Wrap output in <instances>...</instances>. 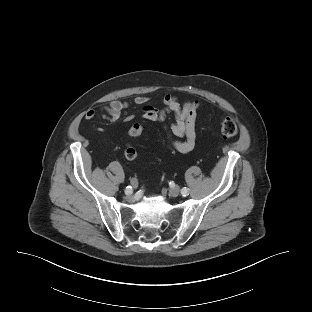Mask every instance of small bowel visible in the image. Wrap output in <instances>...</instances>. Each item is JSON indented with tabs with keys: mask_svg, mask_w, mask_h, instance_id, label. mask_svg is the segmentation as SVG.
<instances>
[{
	"mask_svg": "<svg viewBox=\"0 0 312 312\" xmlns=\"http://www.w3.org/2000/svg\"><path fill=\"white\" fill-rule=\"evenodd\" d=\"M162 108L149 104L147 96H137L131 101L112 100L101 108L102 116L110 122H116L120 119L122 112L131 106L140 107V115L147 121H164L169 114L174 116V122L170 128L165 131L173 145L180 153L186 154L191 152L196 143L195 122L197 112L201 107V103L197 100L186 101L180 104L175 96L166 94L162 98ZM96 112L93 109L84 112V119L92 120ZM135 118L134 115L125 117V122H131ZM184 137V140L178 138Z\"/></svg>",
	"mask_w": 312,
	"mask_h": 312,
	"instance_id": "c3829d8e",
	"label": "small bowel"
}]
</instances>
